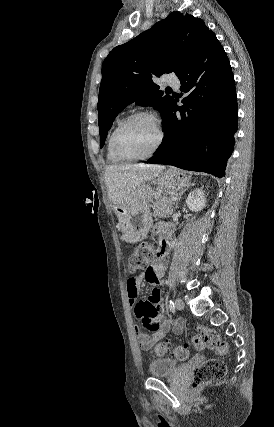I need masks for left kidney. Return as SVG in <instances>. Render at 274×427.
Instances as JSON below:
<instances>
[{
	"mask_svg": "<svg viewBox=\"0 0 274 427\" xmlns=\"http://www.w3.org/2000/svg\"><path fill=\"white\" fill-rule=\"evenodd\" d=\"M206 198L203 190H193L191 194H189L186 200V206H188L189 210H193V212H200L205 208Z\"/></svg>",
	"mask_w": 274,
	"mask_h": 427,
	"instance_id": "5707ae66",
	"label": "left kidney"
}]
</instances>
